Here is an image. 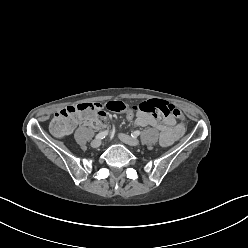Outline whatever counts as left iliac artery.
Masks as SVG:
<instances>
[{
  "label": "left iliac artery",
  "instance_id": "1",
  "mask_svg": "<svg viewBox=\"0 0 248 248\" xmlns=\"http://www.w3.org/2000/svg\"><path fill=\"white\" fill-rule=\"evenodd\" d=\"M140 135V131H134L132 134H131V136L133 137V138H136V137H138Z\"/></svg>",
  "mask_w": 248,
  "mask_h": 248
}]
</instances>
